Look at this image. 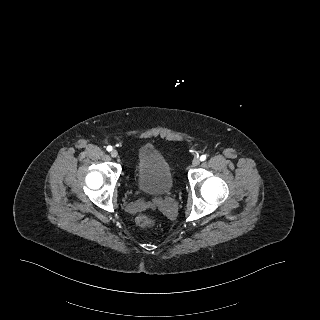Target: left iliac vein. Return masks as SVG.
Segmentation results:
<instances>
[{
  "label": "left iliac vein",
  "instance_id": "left-iliac-vein-1",
  "mask_svg": "<svg viewBox=\"0 0 320 320\" xmlns=\"http://www.w3.org/2000/svg\"><path fill=\"white\" fill-rule=\"evenodd\" d=\"M200 162H201V161H200L199 158H194L193 161H192V165H193V166H198V165L200 164Z\"/></svg>",
  "mask_w": 320,
  "mask_h": 320
}]
</instances>
